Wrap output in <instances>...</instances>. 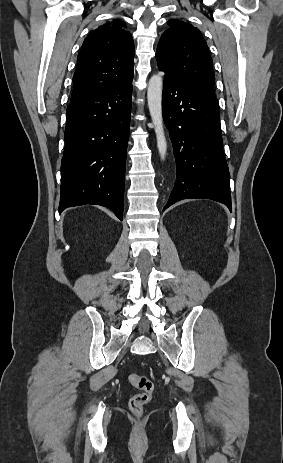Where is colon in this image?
Listing matches in <instances>:
<instances>
[{
	"label": "colon",
	"mask_w": 283,
	"mask_h": 463,
	"mask_svg": "<svg viewBox=\"0 0 283 463\" xmlns=\"http://www.w3.org/2000/svg\"><path fill=\"white\" fill-rule=\"evenodd\" d=\"M128 380L139 390L129 401L131 412L139 417L143 414L144 407L152 401L155 385L149 377L138 374H130Z\"/></svg>",
	"instance_id": "1"
}]
</instances>
